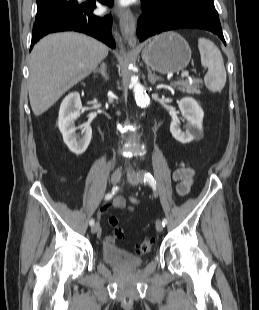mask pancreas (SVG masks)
<instances>
[{
  "mask_svg": "<svg viewBox=\"0 0 259 310\" xmlns=\"http://www.w3.org/2000/svg\"><path fill=\"white\" fill-rule=\"evenodd\" d=\"M202 84V80L199 78L193 79L191 82L188 80L180 81L174 85V87H178L182 92H186L188 94H200V87Z\"/></svg>",
  "mask_w": 259,
  "mask_h": 310,
  "instance_id": "1",
  "label": "pancreas"
}]
</instances>
